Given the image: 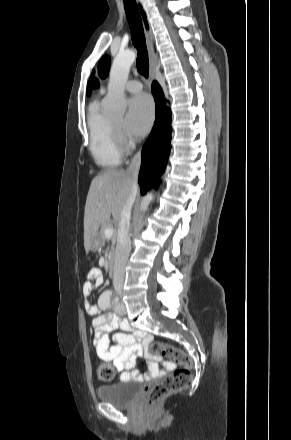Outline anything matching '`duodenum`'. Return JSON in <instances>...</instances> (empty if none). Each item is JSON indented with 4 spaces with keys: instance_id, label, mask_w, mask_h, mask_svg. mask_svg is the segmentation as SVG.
Returning <instances> with one entry per match:
<instances>
[{
    "instance_id": "obj_1",
    "label": "duodenum",
    "mask_w": 291,
    "mask_h": 440,
    "mask_svg": "<svg viewBox=\"0 0 291 440\" xmlns=\"http://www.w3.org/2000/svg\"><path fill=\"white\" fill-rule=\"evenodd\" d=\"M114 253H112L110 256H109V258H108V272H109V275L111 276V277H113L114 275H115V271H116V268H115V259H114V255H113Z\"/></svg>"
}]
</instances>
